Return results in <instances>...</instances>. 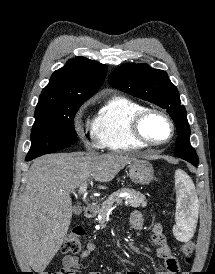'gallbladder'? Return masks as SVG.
<instances>
[{
    "instance_id": "1",
    "label": "gallbladder",
    "mask_w": 215,
    "mask_h": 274,
    "mask_svg": "<svg viewBox=\"0 0 215 274\" xmlns=\"http://www.w3.org/2000/svg\"><path fill=\"white\" fill-rule=\"evenodd\" d=\"M74 212H75L76 214H79V213L82 212V208H81L80 206H74Z\"/></svg>"
}]
</instances>
